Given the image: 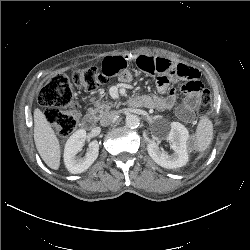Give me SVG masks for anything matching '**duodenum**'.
Masks as SVG:
<instances>
[{
	"label": "duodenum",
	"instance_id": "1",
	"mask_svg": "<svg viewBox=\"0 0 250 250\" xmlns=\"http://www.w3.org/2000/svg\"><path fill=\"white\" fill-rule=\"evenodd\" d=\"M135 100H136V98L131 101V104L133 106H139L138 104L135 103ZM94 123H95V117L92 113H87L84 115V117L82 119V125L84 128L92 129V128H94V125H95Z\"/></svg>",
	"mask_w": 250,
	"mask_h": 250
}]
</instances>
